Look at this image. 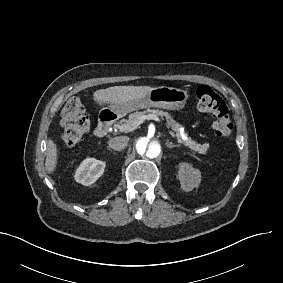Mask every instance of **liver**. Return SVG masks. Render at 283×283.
Instances as JSON below:
<instances>
[{
  "label": "liver",
  "mask_w": 283,
  "mask_h": 283,
  "mask_svg": "<svg viewBox=\"0 0 283 283\" xmlns=\"http://www.w3.org/2000/svg\"><path fill=\"white\" fill-rule=\"evenodd\" d=\"M150 89L149 86H113L95 91L93 99L100 105L113 101L125 102L143 98ZM46 154V171L51 173L56 168L57 163V146L52 140L47 142Z\"/></svg>",
  "instance_id": "6515ba94"
}]
</instances>
